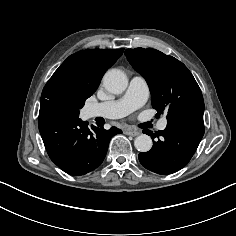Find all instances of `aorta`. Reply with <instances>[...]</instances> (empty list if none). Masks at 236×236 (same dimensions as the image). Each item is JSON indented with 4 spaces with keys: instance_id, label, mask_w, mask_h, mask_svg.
Masks as SVG:
<instances>
[{
    "instance_id": "1",
    "label": "aorta",
    "mask_w": 236,
    "mask_h": 236,
    "mask_svg": "<svg viewBox=\"0 0 236 236\" xmlns=\"http://www.w3.org/2000/svg\"><path fill=\"white\" fill-rule=\"evenodd\" d=\"M105 89L113 94H120L125 91L128 85L126 74L119 69H112L105 73L103 77ZM153 145L152 139L146 134H141L134 140L135 148L140 152H148Z\"/></svg>"
}]
</instances>
